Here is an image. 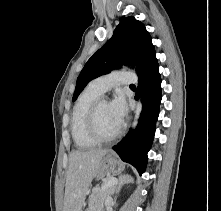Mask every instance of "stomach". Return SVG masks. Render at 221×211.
Listing matches in <instances>:
<instances>
[{
  "label": "stomach",
  "instance_id": "obj_1",
  "mask_svg": "<svg viewBox=\"0 0 221 211\" xmlns=\"http://www.w3.org/2000/svg\"><path fill=\"white\" fill-rule=\"evenodd\" d=\"M123 169V164L115 156L107 154L100 162L99 175L119 174Z\"/></svg>",
  "mask_w": 221,
  "mask_h": 211
}]
</instances>
